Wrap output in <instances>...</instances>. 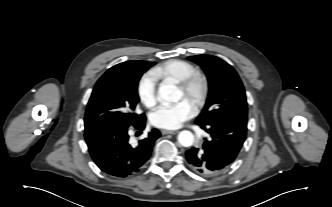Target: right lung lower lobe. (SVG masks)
I'll return each mask as SVG.
<instances>
[{
  "label": "right lung lower lobe",
  "mask_w": 332,
  "mask_h": 207,
  "mask_svg": "<svg viewBox=\"0 0 332 207\" xmlns=\"http://www.w3.org/2000/svg\"><path fill=\"white\" fill-rule=\"evenodd\" d=\"M145 119L144 117L132 126L144 129ZM129 127L110 126L85 132L92 159L109 175L124 178L139 172L150 158L154 142L161 135L157 129H153L137 146H131L127 133Z\"/></svg>",
  "instance_id": "1"
}]
</instances>
